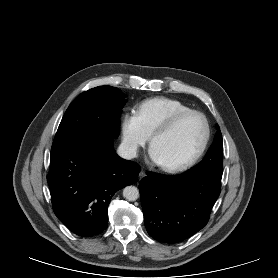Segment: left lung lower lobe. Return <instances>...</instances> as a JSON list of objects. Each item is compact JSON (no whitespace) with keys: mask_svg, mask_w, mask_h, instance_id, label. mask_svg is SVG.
<instances>
[{"mask_svg":"<svg viewBox=\"0 0 278 278\" xmlns=\"http://www.w3.org/2000/svg\"><path fill=\"white\" fill-rule=\"evenodd\" d=\"M145 227L156 240L173 244L199 230L221 190V179L184 173L164 176L149 172L139 184Z\"/></svg>","mask_w":278,"mask_h":278,"instance_id":"left-lung-lower-lobe-1","label":"left lung lower lobe"}]
</instances>
